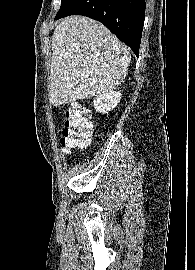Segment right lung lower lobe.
I'll return each mask as SVG.
<instances>
[{
  "instance_id": "obj_1",
  "label": "right lung lower lobe",
  "mask_w": 195,
  "mask_h": 270,
  "mask_svg": "<svg viewBox=\"0 0 195 270\" xmlns=\"http://www.w3.org/2000/svg\"><path fill=\"white\" fill-rule=\"evenodd\" d=\"M145 0H75L55 20L83 15L103 23L139 56L145 18Z\"/></svg>"
}]
</instances>
